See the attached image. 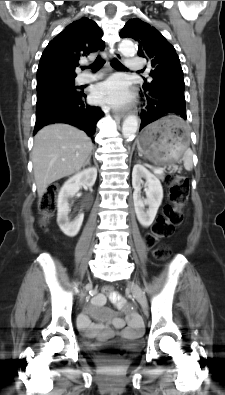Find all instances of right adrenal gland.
I'll list each match as a JSON object with an SVG mask.
<instances>
[{
  "instance_id": "obj_1",
  "label": "right adrenal gland",
  "mask_w": 225,
  "mask_h": 395,
  "mask_svg": "<svg viewBox=\"0 0 225 395\" xmlns=\"http://www.w3.org/2000/svg\"><path fill=\"white\" fill-rule=\"evenodd\" d=\"M90 159H91V155L88 157L87 162H86V165H87V164L90 165Z\"/></svg>"
}]
</instances>
